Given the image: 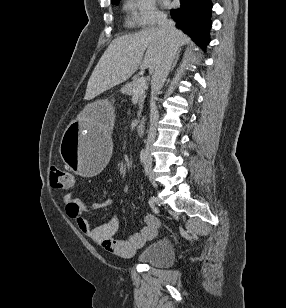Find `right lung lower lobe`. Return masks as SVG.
Listing matches in <instances>:
<instances>
[{
	"mask_svg": "<svg viewBox=\"0 0 286 308\" xmlns=\"http://www.w3.org/2000/svg\"><path fill=\"white\" fill-rule=\"evenodd\" d=\"M180 2V8L171 10L176 26L205 48L210 42L209 30L212 25L210 0H180Z\"/></svg>",
	"mask_w": 286,
	"mask_h": 308,
	"instance_id": "98d812e1",
	"label": "right lung lower lobe"
}]
</instances>
